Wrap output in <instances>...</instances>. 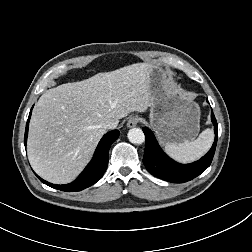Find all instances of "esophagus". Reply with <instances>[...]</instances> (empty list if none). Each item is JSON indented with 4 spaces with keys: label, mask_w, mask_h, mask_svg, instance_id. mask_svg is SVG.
I'll return each instance as SVG.
<instances>
[{
    "label": "esophagus",
    "mask_w": 252,
    "mask_h": 252,
    "mask_svg": "<svg viewBox=\"0 0 252 252\" xmlns=\"http://www.w3.org/2000/svg\"><path fill=\"white\" fill-rule=\"evenodd\" d=\"M138 122H139V119L137 116L130 117V119L127 122V126L128 128H134L137 126Z\"/></svg>",
    "instance_id": "34e87169"
}]
</instances>
